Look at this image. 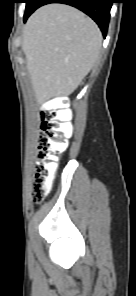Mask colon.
<instances>
[{"mask_svg":"<svg viewBox=\"0 0 136 296\" xmlns=\"http://www.w3.org/2000/svg\"><path fill=\"white\" fill-rule=\"evenodd\" d=\"M40 117L42 134L32 182V196L36 202H41L48 194L58 158L66 150L71 132L69 113L52 101L43 104Z\"/></svg>","mask_w":136,"mask_h":296,"instance_id":"1","label":"colon"}]
</instances>
